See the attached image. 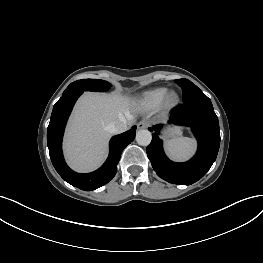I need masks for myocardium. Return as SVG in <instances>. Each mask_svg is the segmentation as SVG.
<instances>
[{
	"label": "myocardium",
	"instance_id": "myocardium-1",
	"mask_svg": "<svg viewBox=\"0 0 263 263\" xmlns=\"http://www.w3.org/2000/svg\"><path fill=\"white\" fill-rule=\"evenodd\" d=\"M179 102H180L179 95L175 91H170L164 97L161 103V108L164 111H168L175 108L179 104Z\"/></svg>",
	"mask_w": 263,
	"mask_h": 263
}]
</instances>
